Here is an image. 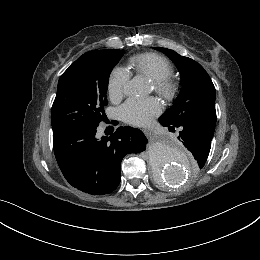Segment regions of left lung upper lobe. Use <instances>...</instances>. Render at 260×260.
Listing matches in <instances>:
<instances>
[{"instance_id":"5c2ea615","label":"left lung upper lobe","mask_w":260,"mask_h":260,"mask_svg":"<svg viewBox=\"0 0 260 260\" xmlns=\"http://www.w3.org/2000/svg\"><path fill=\"white\" fill-rule=\"evenodd\" d=\"M180 69L183 87L173 106L162 117L174 125L194 121L210 130H215V87L205 69L191 58L177 52L158 47ZM203 168V166H199Z\"/></svg>"}]
</instances>
